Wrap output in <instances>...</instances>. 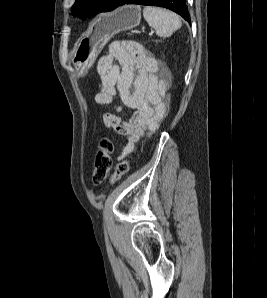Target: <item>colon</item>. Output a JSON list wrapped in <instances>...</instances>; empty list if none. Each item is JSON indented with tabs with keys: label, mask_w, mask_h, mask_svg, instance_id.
<instances>
[{
	"label": "colon",
	"mask_w": 267,
	"mask_h": 298,
	"mask_svg": "<svg viewBox=\"0 0 267 298\" xmlns=\"http://www.w3.org/2000/svg\"><path fill=\"white\" fill-rule=\"evenodd\" d=\"M112 142L108 138L101 139L96 153L92 179L95 185L101 184L109 175L112 165ZM129 160H123L117 164L114 174L111 177V184L118 182L129 170Z\"/></svg>",
	"instance_id": "obj_1"
}]
</instances>
